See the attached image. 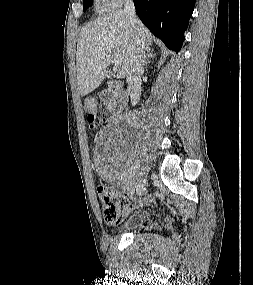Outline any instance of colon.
I'll list each match as a JSON object with an SVG mask.
<instances>
[{
    "mask_svg": "<svg viewBox=\"0 0 253 285\" xmlns=\"http://www.w3.org/2000/svg\"><path fill=\"white\" fill-rule=\"evenodd\" d=\"M86 108L88 112L87 121L91 127H95L98 122L97 103L89 101ZM96 190L101 201L105 220L108 223H117L133 204L130 196L111 190L103 184H98Z\"/></svg>",
    "mask_w": 253,
    "mask_h": 285,
    "instance_id": "5ec220e1",
    "label": "colon"
}]
</instances>
